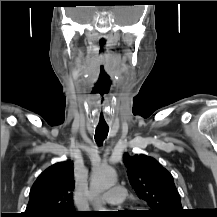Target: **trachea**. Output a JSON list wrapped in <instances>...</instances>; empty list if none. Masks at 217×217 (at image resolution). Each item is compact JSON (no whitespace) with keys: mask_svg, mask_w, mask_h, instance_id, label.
<instances>
[{"mask_svg":"<svg viewBox=\"0 0 217 217\" xmlns=\"http://www.w3.org/2000/svg\"><path fill=\"white\" fill-rule=\"evenodd\" d=\"M109 128L108 127H96L95 131V141L99 146H102L104 139L108 135Z\"/></svg>","mask_w":217,"mask_h":217,"instance_id":"3493384b","label":"trachea"}]
</instances>
